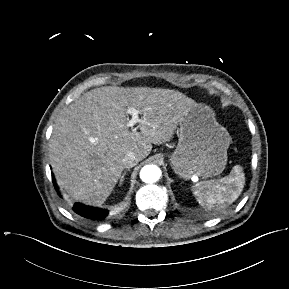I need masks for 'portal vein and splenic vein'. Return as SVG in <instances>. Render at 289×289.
I'll return each mask as SVG.
<instances>
[{
	"mask_svg": "<svg viewBox=\"0 0 289 289\" xmlns=\"http://www.w3.org/2000/svg\"><path fill=\"white\" fill-rule=\"evenodd\" d=\"M127 113L132 116V118L127 123V127H133L136 123L141 122L139 118V111L135 108H128Z\"/></svg>",
	"mask_w": 289,
	"mask_h": 289,
	"instance_id": "portal-vein-and-splenic-vein-1",
	"label": "portal vein and splenic vein"
}]
</instances>
